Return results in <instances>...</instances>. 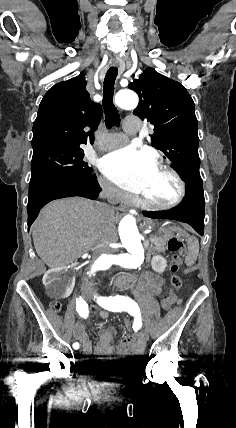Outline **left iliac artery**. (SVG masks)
<instances>
[{
    "label": "left iliac artery",
    "instance_id": "44dca946",
    "mask_svg": "<svg viewBox=\"0 0 236 428\" xmlns=\"http://www.w3.org/2000/svg\"><path fill=\"white\" fill-rule=\"evenodd\" d=\"M97 303L104 309H107L112 312L127 311L131 307L137 305V303H135V301H133L131 298L119 295L114 297L110 296L108 298L97 297Z\"/></svg>",
    "mask_w": 236,
    "mask_h": 428
}]
</instances>
